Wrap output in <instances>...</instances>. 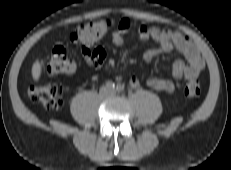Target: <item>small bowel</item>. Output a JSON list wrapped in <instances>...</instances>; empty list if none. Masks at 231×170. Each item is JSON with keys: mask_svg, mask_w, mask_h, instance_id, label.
<instances>
[{"mask_svg": "<svg viewBox=\"0 0 231 170\" xmlns=\"http://www.w3.org/2000/svg\"><path fill=\"white\" fill-rule=\"evenodd\" d=\"M131 32H135L141 40L152 39L158 44V48L150 49L144 54L146 60H151L162 53H169L173 50L180 52L186 60L178 59L173 63V79L149 78L146 84L154 90L173 93L179 81L182 79L194 80L204 68L205 62L200 51L188 37L178 31L148 27L143 24H133L128 18L124 17L119 21L117 30L112 35L113 44L123 49L125 47L124 36ZM82 52L86 62L95 67L100 66L105 58L103 49H91L88 44L83 45ZM117 79H120V77L118 76ZM130 85L137 87L139 85L138 79L132 77Z\"/></svg>", "mask_w": 231, "mask_h": 170, "instance_id": "small-bowel-1", "label": "small bowel"}]
</instances>
